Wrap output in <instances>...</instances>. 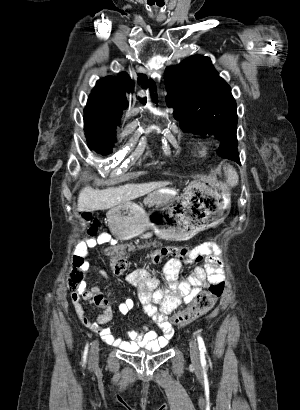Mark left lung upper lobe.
Masks as SVG:
<instances>
[{
  "instance_id": "left-lung-upper-lobe-1",
  "label": "left lung upper lobe",
  "mask_w": 300,
  "mask_h": 410,
  "mask_svg": "<svg viewBox=\"0 0 300 410\" xmlns=\"http://www.w3.org/2000/svg\"><path fill=\"white\" fill-rule=\"evenodd\" d=\"M165 82L167 103L174 108L182 129L199 135L213 134L221 141L218 154L239 163L236 102L210 58L191 56L167 67Z\"/></svg>"
}]
</instances>
